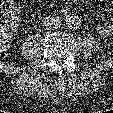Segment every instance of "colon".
Returning a JSON list of instances; mask_svg holds the SVG:
<instances>
[{
    "label": "colon",
    "mask_w": 113,
    "mask_h": 113,
    "mask_svg": "<svg viewBox=\"0 0 113 113\" xmlns=\"http://www.w3.org/2000/svg\"><path fill=\"white\" fill-rule=\"evenodd\" d=\"M21 1H23V0H0V32H1V29L8 22L7 18L12 19L10 10L12 8L16 9L19 6V4L21 3Z\"/></svg>",
    "instance_id": "1"
}]
</instances>
